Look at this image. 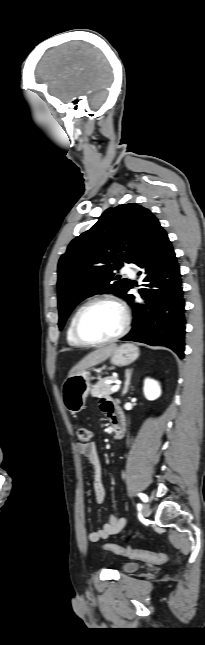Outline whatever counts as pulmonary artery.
<instances>
[{"instance_id": "e3ab8cb5", "label": "pulmonary artery", "mask_w": 205, "mask_h": 645, "mask_svg": "<svg viewBox=\"0 0 205 645\" xmlns=\"http://www.w3.org/2000/svg\"><path fill=\"white\" fill-rule=\"evenodd\" d=\"M122 272L129 275V276H134V270L129 266V265H124L122 267Z\"/></svg>"}]
</instances>
